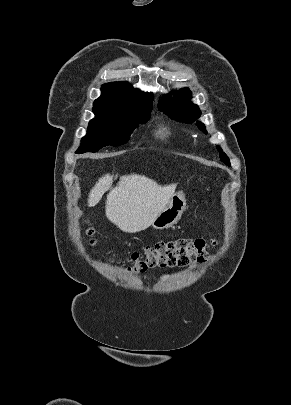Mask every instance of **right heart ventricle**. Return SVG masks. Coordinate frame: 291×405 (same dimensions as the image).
Returning a JSON list of instances; mask_svg holds the SVG:
<instances>
[{
  "mask_svg": "<svg viewBox=\"0 0 291 405\" xmlns=\"http://www.w3.org/2000/svg\"><path fill=\"white\" fill-rule=\"evenodd\" d=\"M159 134H160L162 137H168V136L171 135V131H170L168 128L164 127V128H161V129L159 130Z\"/></svg>",
  "mask_w": 291,
  "mask_h": 405,
  "instance_id": "right-heart-ventricle-1",
  "label": "right heart ventricle"
}]
</instances>
